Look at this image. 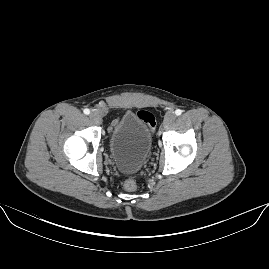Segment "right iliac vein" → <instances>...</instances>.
<instances>
[{"label": "right iliac vein", "instance_id": "right-iliac-vein-1", "mask_svg": "<svg viewBox=\"0 0 269 269\" xmlns=\"http://www.w3.org/2000/svg\"><path fill=\"white\" fill-rule=\"evenodd\" d=\"M90 120L94 123V124H100L101 122V117L99 115V113L97 112H91L90 115Z\"/></svg>", "mask_w": 269, "mask_h": 269}]
</instances>
